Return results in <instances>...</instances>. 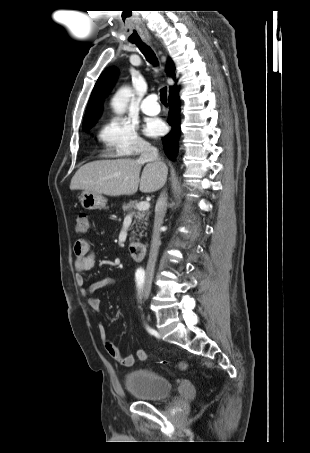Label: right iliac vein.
I'll return each instance as SVG.
<instances>
[{
	"instance_id": "63e3f726",
	"label": "right iliac vein",
	"mask_w": 310,
	"mask_h": 453,
	"mask_svg": "<svg viewBox=\"0 0 310 453\" xmlns=\"http://www.w3.org/2000/svg\"><path fill=\"white\" fill-rule=\"evenodd\" d=\"M147 291H148V294H149L150 293V288L149 287L147 288Z\"/></svg>"
}]
</instances>
